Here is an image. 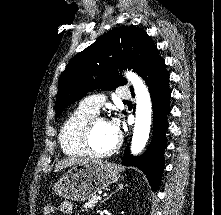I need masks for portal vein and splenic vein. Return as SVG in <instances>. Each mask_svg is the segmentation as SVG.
I'll use <instances>...</instances> for the list:
<instances>
[{
    "label": "portal vein and splenic vein",
    "mask_w": 221,
    "mask_h": 215,
    "mask_svg": "<svg viewBox=\"0 0 221 215\" xmlns=\"http://www.w3.org/2000/svg\"><path fill=\"white\" fill-rule=\"evenodd\" d=\"M97 199H98V200H101V199H102V197H101V196H98V197H97Z\"/></svg>",
    "instance_id": "portal-vein-and-splenic-vein-1"
}]
</instances>
